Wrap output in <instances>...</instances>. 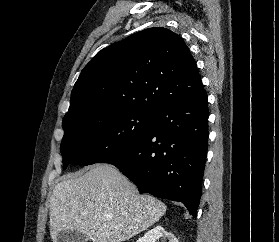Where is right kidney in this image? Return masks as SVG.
Here are the masks:
<instances>
[{
	"instance_id": "right-kidney-1",
	"label": "right kidney",
	"mask_w": 279,
	"mask_h": 242,
	"mask_svg": "<svg viewBox=\"0 0 279 242\" xmlns=\"http://www.w3.org/2000/svg\"><path fill=\"white\" fill-rule=\"evenodd\" d=\"M160 238L168 239L169 242H178L176 237L172 233L167 232L161 225H157L147 231L136 242H157Z\"/></svg>"
}]
</instances>
